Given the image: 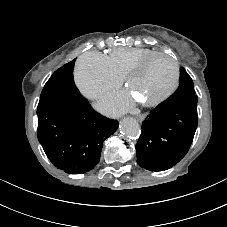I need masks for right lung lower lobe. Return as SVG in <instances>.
Masks as SVG:
<instances>
[{
    "label": "right lung lower lobe",
    "instance_id": "obj_1",
    "mask_svg": "<svg viewBox=\"0 0 227 227\" xmlns=\"http://www.w3.org/2000/svg\"><path fill=\"white\" fill-rule=\"evenodd\" d=\"M38 140L54 166L69 174L92 170L100 161L103 142L118 128V121L92 109L81 95L41 98Z\"/></svg>",
    "mask_w": 227,
    "mask_h": 227
}]
</instances>
